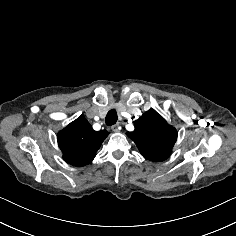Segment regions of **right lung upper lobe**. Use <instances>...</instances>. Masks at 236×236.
Here are the masks:
<instances>
[{
	"instance_id": "1",
	"label": "right lung upper lobe",
	"mask_w": 236,
	"mask_h": 236,
	"mask_svg": "<svg viewBox=\"0 0 236 236\" xmlns=\"http://www.w3.org/2000/svg\"><path fill=\"white\" fill-rule=\"evenodd\" d=\"M106 130L94 131L81 115L58 133V144L64 160L73 166H85L92 162L104 139Z\"/></svg>"
}]
</instances>
